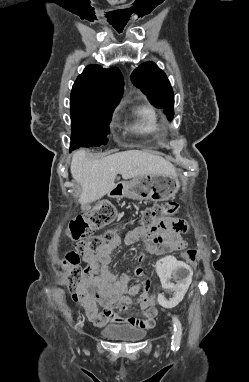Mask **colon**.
Here are the masks:
<instances>
[{"label":"colon","instance_id":"5ec220e1","mask_svg":"<svg viewBox=\"0 0 249 382\" xmlns=\"http://www.w3.org/2000/svg\"><path fill=\"white\" fill-rule=\"evenodd\" d=\"M179 209L180 203L177 201L154 204L141 211L139 222L143 227L150 228L166 216L176 213ZM113 212V206L110 203H101L87 214L77 216L70 224L68 236L74 242V249L65 253L62 258V265L68 272L67 286L75 300H79L78 288L85 275V269L80 266L81 255L99 251L105 242L114 237L116 230L110 229L103 236H93L89 239H86V237L95 229L109 223ZM183 256L188 261L194 262L197 257V251L189 248L183 252ZM136 274L135 281L146 282L145 288L148 290L149 282L147 274L141 268L136 270ZM153 310L152 308L151 311Z\"/></svg>","mask_w":249,"mask_h":382}]
</instances>
